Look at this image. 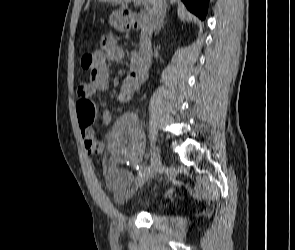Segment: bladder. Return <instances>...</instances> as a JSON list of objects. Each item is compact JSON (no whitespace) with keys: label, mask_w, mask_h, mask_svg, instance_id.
Here are the masks:
<instances>
[{"label":"bladder","mask_w":295,"mask_h":250,"mask_svg":"<svg viewBox=\"0 0 295 250\" xmlns=\"http://www.w3.org/2000/svg\"><path fill=\"white\" fill-rule=\"evenodd\" d=\"M148 206V204H143L142 206H141V208H145V207H147Z\"/></svg>","instance_id":"obj_1"}]
</instances>
